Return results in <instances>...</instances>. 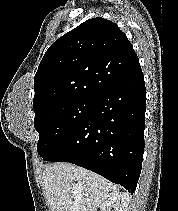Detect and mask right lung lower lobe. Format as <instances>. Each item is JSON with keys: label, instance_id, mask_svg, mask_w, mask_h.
<instances>
[{"label": "right lung lower lobe", "instance_id": "1", "mask_svg": "<svg viewBox=\"0 0 178 211\" xmlns=\"http://www.w3.org/2000/svg\"><path fill=\"white\" fill-rule=\"evenodd\" d=\"M145 109L140 70L97 97L82 124L43 159L74 163L133 194L143 160Z\"/></svg>", "mask_w": 178, "mask_h": 211}]
</instances>
